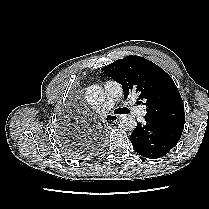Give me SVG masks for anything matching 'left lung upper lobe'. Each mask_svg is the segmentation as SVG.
<instances>
[{"mask_svg": "<svg viewBox=\"0 0 209 209\" xmlns=\"http://www.w3.org/2000/svg\"><path fill=\"white\" fill-rule=\"evenodd\" d=\"M103 71L122 85L124 97L133 92L139 94L140 103L147 107V117L162 124L184 127L182 98L162 68L143 57L130 55L103 67Z\"/></svg>", "mask_w": 209, "mask_h": 209, "instance_id": "5c2ea615", "label": "left lung upper lobe"}]
</instances>
